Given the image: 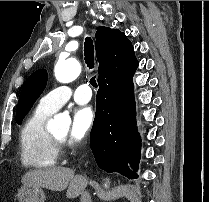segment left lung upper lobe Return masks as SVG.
<instances>
[{
  "label": "left lung upper lobe",
  "mask_w": 209,
  "mask_h": 202,
  "mask_svg": "<svg viewBox=\"0 0 209 202\" xmlns=\"http://www.w3.org/2000/svg\"><path fill=\"white\" fill-rule=\"evenodd\" d=\"M47 71L39 69L32 73L26 80L17 105L16 122L21 124L22 119L27 115L34 102L44 91L47 84Z\"/></svg>",
  "instance_id": "obj_1"
}]
</instances>
